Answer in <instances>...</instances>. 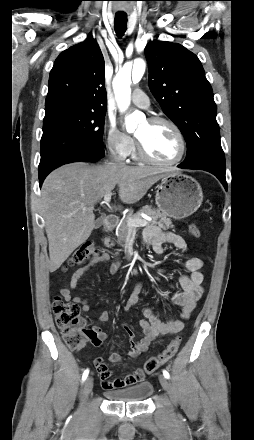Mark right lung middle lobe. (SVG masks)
<instances>
[{
	"mask_svg": "<svg viewBox=\"0 0 254 440\" xmlns=\"http://www.w3.org/2000/svg\"><path fill=\"white\" fill-rule=\"evenodd\" d=\"M39 177L64 162L104 155L103 132L106 110L60 104L45 109Z\"/></svg>",
	"mask_w": 254,
	"mask_h": 440,
	"instance_id": "dd1d6c3e",
	"label": "right lung middle lobe"
}]
</instances>
